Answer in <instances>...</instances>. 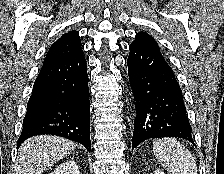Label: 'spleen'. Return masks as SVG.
Masks as SVG:
<instances>
[{
  "instance_id": "3e777b00",
  "label": "spleen",
  "mask_w": 224,
  "mask_h": 174,
  "mask_svg": "<svg viewBox=\"0 0 224 174\" xmlns=\"http://www.w3.org/2000/svg\"><path fill=\"white\" fill-rule=\"evenodd\" d=\"M154 156L171 174H197V165L191 152L172 138L153 142Z\"/></svg>"
}]
</instances>
